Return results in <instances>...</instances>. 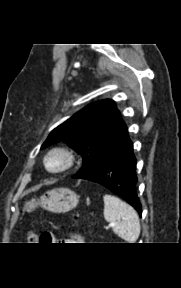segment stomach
<instances>
[{"label":"stomach","instance_id":"obj_1","mask_svg":"<svg viewBox=\"0 0 181 288\" xmlns=\"http://www.w3.org/2000/svg\"><path fill=\"white\" fill-rule=\"evenodd\" d=\"M79 203V196L72 190L60 187L47 191L40 199H31L23 205V212L30 213L38 206L53 213H65Z\"/></svg>","mask_w":181,"mask_h":288}]
</instances>
